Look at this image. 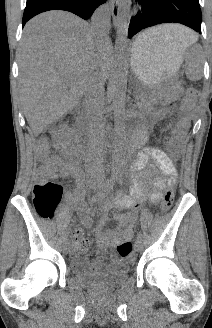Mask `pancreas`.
Wrapping results in <instances>:
<instances>
[{"instance_id": "obj_1", "label": "pancreas", "mask_w": 212, "mask_h": 328, "mask_svg": "<svg viewBox=\"0 0 212 328\" xmlns=\"http://www.w3.org/2000/svg\"><path fill=\"white\" fill-rule=\"evenodd\" d=\"M136 108L141 112L143 109L151 107L155 99L150 95H140L137 98Z\"/></svg>"}]
</instances>
